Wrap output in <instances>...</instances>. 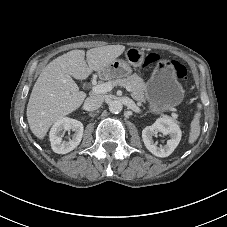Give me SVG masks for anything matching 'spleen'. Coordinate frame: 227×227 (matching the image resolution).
Returning a JSON list of instances; mask_svg holds the SVG:
<instances>
[{"label":"spleen","mask_w":227,"mask_h":227,"mask_svg":"<svg viewBox=\"0 0 227 227\" xmlns=\"http://www.w3.org/2000/svg\"><path fill=\"white\" fill-rule=\"evenodd\" d=\"M198 111L195 113L193 120L191 121L190 124V133H189V139H188V143L189 144H193L199 137L200 135V117H201V113H200V109H201V105H198Z\"/></svg>","instance_id":"3e777b00"}]
</instances>
